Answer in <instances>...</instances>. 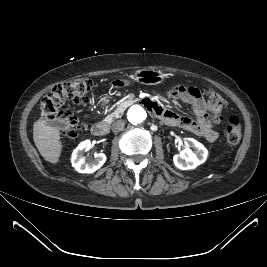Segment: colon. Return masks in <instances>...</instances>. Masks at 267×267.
<instances>
[{"label": "colon", "mask_w": 267, "mask_h": 267, "mask_svg": "<svg viewBox=\"0 0 267 267\" xmlns=\"http://www.w3.org/2000/svg\"><path fill=\"white\" fill-rule=\"evenodd\" d=\"M93 83L89 79H74L54 86L41 100L40 110L48 121L64 122L63 134L68 139H76L79 133L78 121L68 111L70 103L85 101ZM208 110L213 122L221 120V113L226 107L225 99L215 91L208 92ZM241 138V123L237 116H230L226 121V139L230 144H236Z\"/></svg>", "instance_id": "1"}]
</instances>
